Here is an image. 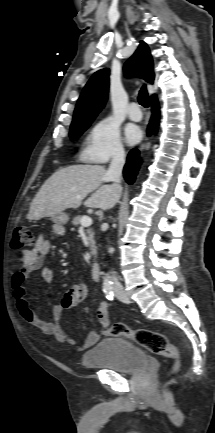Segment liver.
<instances>
[{"label": "liver", "mask_w": 215, "mask_h": 433, "mask_svg": "<svg viewBox=\"0 0 215 433\" xmlns=\"http://www.w3.org/2000/svg\"><path fill=\"white\" fill-rule=\"evenodd\" d=\"M106 169L101 165H71L57 170L42 185L30 205L27 218L39 220L53 217L68 208H78L89 193L84 205L108 210L119 200V184H103Z\"/></svg>", "instance_id": "6515ba94"}]
</instances>
